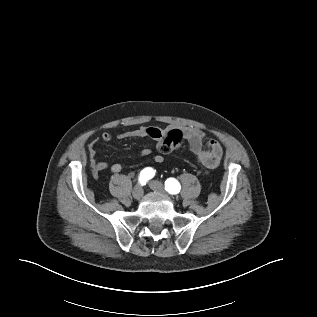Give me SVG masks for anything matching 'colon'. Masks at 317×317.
<instances>
[{"label": "colon", "instance_id": "1", "mask_svg": "<svg viewBox=\"0 0 317 317\" xmlns=\"http://www.w3.org/2000/svg\"><path fill=\"white\" fill-rule=\"evenodd\" d=\"M184 134L180 129H172L164 133L160 151L167 154L179 149L184 142Z\"/></svg>", "mask_w": 317, "mask_h": 317}]
</instances>
